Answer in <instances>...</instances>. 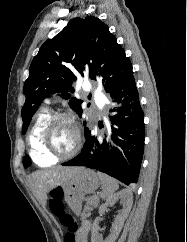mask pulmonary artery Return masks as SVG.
<instances>
[{"label": "pulmonary artery", "mask_w": 187, "mask_h": 242, "mask_svg": "<svg viewBox=\"0 0 187 242\" xmlns=\"http://www.w3.org/2000/svg\"><path fill=\"white\" fill-rule=\"evenodd\" d=\"M98 93H99V92L96 90V91L94 92V95H95V96H97V95H98Z\"/></svg>", "instance_id": "obj_1"}]
</instances>
